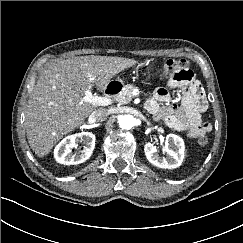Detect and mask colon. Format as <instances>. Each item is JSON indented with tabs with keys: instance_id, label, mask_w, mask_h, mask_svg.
Wrapping results in <instances>:
<instances>
[{
	"instance_id": "5ec220e1",
	"label": "colon",
	"mask_w": 243,
	"mask_h": 243,
	"mask_svg": "<svg viewBox=\"0 0 243 243\" xmlns=\"http://www.w3.org/2000/svg\"><path fill=\"white\" fill-rule=\"evenodd\" d=\"M188 63L185 59L181 58H172L168 59L161 69L162 78H175V79H184L190 73ZM200 146H206L209 142L206 136H200L197 140Z\"/></svg>"
}]
</instances>
